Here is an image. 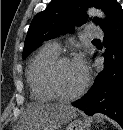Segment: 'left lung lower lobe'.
Returning a JSON list of instances; mask_svg holds the SVG:
<instances>
[{
  "mask_svg": "<svg viewBox=\"0 0 123 130\" xmlns=\"http://www.w3.org/2000/svg\"><path fill=\"white\" fill-rule=\"evenodd\" d=\"M104 69L98 74L84 98L72 103L87 115L105 114L123 128V10L120 8L110 26L103 30Z\"/></svg>",
  "mask_w": 123,
  "mask_h": 130,
  "instance_id": "left-lung-lower-lobe-1",
  "label": "left lung lower lobe"
}]
</instances>
